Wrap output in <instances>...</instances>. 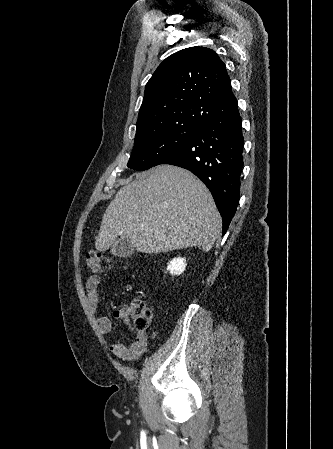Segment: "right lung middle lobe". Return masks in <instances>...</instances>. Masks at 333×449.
<instances>
[{"instance_id": "obj_1", "label": "right lung middle lobe", "mask_w": 333, "mask_h": 449, "mask_svg": "<svg viewBox=\"0 0 333 449\" xmlns=\"http://www.w3.org/2000/svg\"><path fill=\"white\" fill-rule=\"evenodd\" d=\"M202 126L189 123H170L158 126L135 136L134 148L128 167L146 170L184 143Z\"/></svg>"}]
</instances>
